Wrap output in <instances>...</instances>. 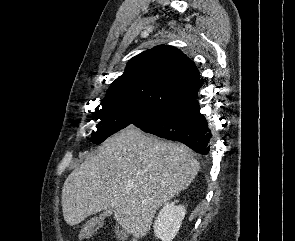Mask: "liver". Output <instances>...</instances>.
<instances>
[{"label":"liver","instance_id":"obj_1","mask_svg":"<svg viewBox=\"0 0 295 241\" xmlns=\"http://www.w3.org/2000/svg\"><path fill=\"white\" fill-rule=\"evenodd\" d=\"M199 169L186 146L129 128L108 138L66 178L64 220L73 226L112 208L125 231L144 237L158 208L185 190Z\"/></svg>","mask_w":295,"mask_h":241}]
</instances>
